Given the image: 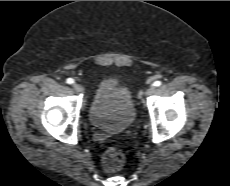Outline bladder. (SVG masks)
I'll return each instance as SVG.
<instances>
[{
    "label": "bladder",
    "mask_w": 230,
    "mask_h": 186,
    "mask_svg": "<svg viewBox=\"0 0 230 186\" xmlns=\"http://www.w3.org/2000/svg\"><path fill=\"white\" fill-rule=\"evenodd\" d=\"M136 119V109L130 93L112 80L102 81L89 109L91 125L107 133L129 129Z\"/></svg>",
    "instance_id": "1"
}]
</instances>
